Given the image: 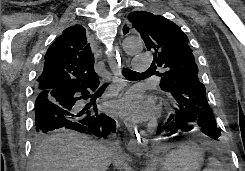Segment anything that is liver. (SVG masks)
<instances>
[{
	"label": "liver",
	"instance_id": "liver-1",
	"mask_svg": "<svg viewBox=\"0 0 245 171\" xmlns=\"http://www.w3.org/2000/svg\"><path fill=\"white\" fill-rule=\"evenodd\" d=\"M113 152L84 135L61 129L46 137L35 153L30 171H106Z\"/></svg>",
	"mask_w": 245,
	"mask_h": 171
}]
</instances>
